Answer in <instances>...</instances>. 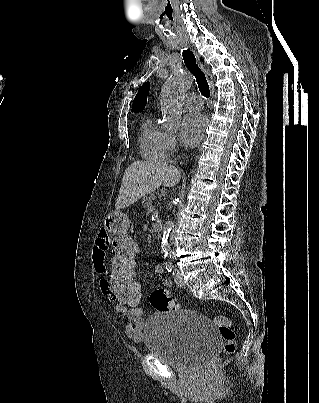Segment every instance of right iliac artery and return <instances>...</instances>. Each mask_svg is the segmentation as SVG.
Instances as JSON below:
<instances>
[{"instance_id":"right-iliac-artery-1","label":"right iliac artery","mask_w":319,"mask_h":403,"mask_svg":"<svg viewBox=\"0 0 319 403\" xmlns=\"http://www.w3.org/2000/svg\"><path fill=\"white\" fill-rule=\"evenodd\" d=\"M166 269L168 272H171L173 269V264L172 263H166Z\"/></svg>"}]
</instances>
